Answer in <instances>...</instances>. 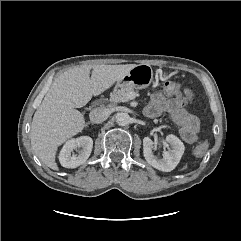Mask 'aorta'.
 <instances>
[{"label": "aorta", "mask_w": 241, "mask_h": 241, "mask_svg": "<svg viewBox=\"0 0 241 241\" xmlns=\"http://www.w3.org/2000/svg\"><path fill=\"white\" fill-rule=\"evenodd\" d=\"M116 123L119 125V126H126L130 123V116L128 113L126 112H120V113H117L116 115Z\"/></svg>", "instance_id": "aorta-1"}]
</instances>
